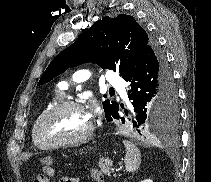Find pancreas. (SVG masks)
Listing matches in <instances>:
<instances>
[{"label":"pancreas","instance_id":"pancreas-1","mask_svg":"<svg viewBox=\"0 0 211 182\" xmlns=\"http://www.w3.org/2000/svg\"><path fill=\"white\" fill-rule=\"evenodd\" d=\"M111 166L112 164L109 161H103V160L99 161V168L101 169V172L104 174H107V175L111 174V170H112Z\"/></svg>","mask_w":211,"mask_h":182}]
</instances>
